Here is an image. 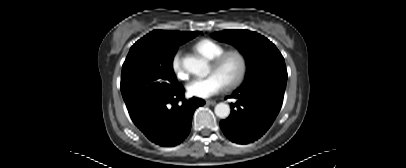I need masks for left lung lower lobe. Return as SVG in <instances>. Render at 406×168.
<instances>
[{
    "instance_id": "left-lung-lower-lobe-1",
    "label": "left lung lower lobe",
    "mask_w": 406,
    "mask_h": 168,
    "mask_svg": "<svg viewBox=\"0 0 406 168\" xmlns=\"http://www.w3.org/2000/svg\"><path fill=\"white\" fill-rule=\"evenodd\" d=\"M284 91L274 87H256L235 91L228 96L237 99V102L231 105L230 116L220 122L225 136L238 144L251 143L263 136L281 109Z\"/></svg>"
}]
</instances>
